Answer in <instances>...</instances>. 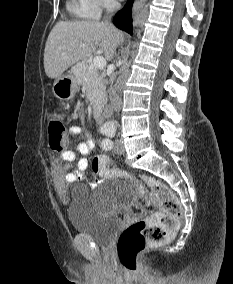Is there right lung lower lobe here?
<instances>
[{
    "instance_id": "98d812e1",
    "label": "right lung lower lobe",
    "mask_w": 233,
    "mask_h": 284,
    "mask_svg": "<svg viewBox=\"0 0 233 284\" xmlns=\"http://www.w3.org/2000/svg\"><path fill=\"white\" fill-rule=\"evenodd\" d=\"M134 0H128L126 5L122 10H120L114 17L113 23L118 28L128 32L132 35L133 25H132V17H131V9Z\"/></svg>"
}]
</instances>
